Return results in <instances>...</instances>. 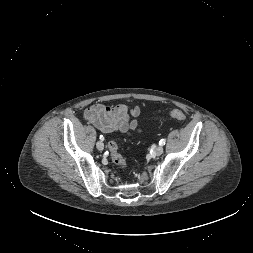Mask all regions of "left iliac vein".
I'll list each match as a JSON object with an SVG mask.
<instances>
[{"mask_svg":"<svg viewBox=\"0 0 253 253\" xmlns=\"http://www.w3.org/2000/svg\"><path fill=\"white\" fill-rule=\"evenodd\" d=\"M163 153V146L159 145L155 149V155L160 156Z\"/></svg>","mask_w":253,"mask_h":253,"instance_id":"left-iliac-vein-1","label":"left iliac vein"}]
</instances>
